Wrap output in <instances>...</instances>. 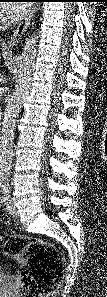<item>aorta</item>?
<instances>
[{"label":"aorta","instance_id":"762f6f07","mask_svg":"<svg viewBox=\"0 0 107 297\" xmlns=\"http://www.w3.org/2000/svg\"><path fill=\"white\" fill-rule=\"evenodd\" d=\"M37 54V37L26 39L16 72L15 90L4 111L0 130V166L7 168L13 156V137L17 118L31 89Z\"/></svg>","mask_w":107,"mask_h":297}]
</instances>
